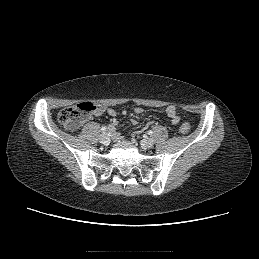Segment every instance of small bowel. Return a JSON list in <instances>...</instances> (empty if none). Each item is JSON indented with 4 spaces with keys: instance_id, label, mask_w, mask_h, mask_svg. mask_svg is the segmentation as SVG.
Wrapping results in <instances>:
<instances>
[{
    "instance_id": "small-bowel-1",
    "label": "small bowel",
    "mask_w": 259,
    "mask_h": 259,
    "mask_svg": "<svg viewBox=\"0 0 259 259\" xmlns=\"http://www.w3.org/2000/svg\"><path fill=\"white\" fill-rule=\"evenodd\" d=\"M133 112L135 114H141L143 112V109L139 106H136V107L133 108ZM166 113H167L168 117L170 118V121H171L172 125H176V124L179 123L180 118H179V116L176 112V108L173 105H169V106L166 107ZM102 114H107L110 117H116L118 115V111L114 108L100 107L96 111L95 115L100 116ZM110 130L112 132H114L117 137H120V134L117 132L115 123H113L110 126Z\"/></svg>"
}]
</instances>
